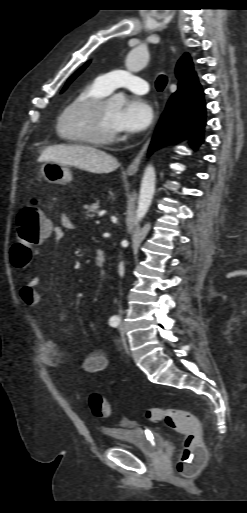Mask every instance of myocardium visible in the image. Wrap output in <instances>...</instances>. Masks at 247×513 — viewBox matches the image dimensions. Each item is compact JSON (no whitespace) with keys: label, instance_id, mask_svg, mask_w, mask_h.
Wrapping results in <instances>:
<instances>
[{"label":"myocardium","instance_id":"f54148a6","mask_svg":"<svg viewBox=\"0 0 247 513\" xmlns=\"http://www.w3.org/2000/svg\"><path fill=\"white\" fill-rule=\"evenodd\" d=\"M108 102V98L93 97L66 108L60 117L63 132L83 143L94 145L114 143L118 133H105L99 127L102 111Z\"/></svg>","mask_w":247,"mask_h":513}]
</instances>
